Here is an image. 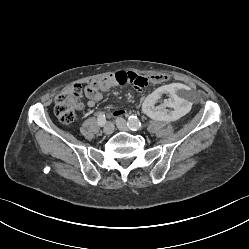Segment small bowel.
Segmentation results:
<instances>
[{
    "instance_id": "1",
    "label": "small bowel",
    "mask_w": 249,
    "mask_h": 249,
    "mask_svg": "<svg viewBox=\"0 0 249 249\" xmlns=\"http://www.w3.org/2000/svg\"><path fill=\"white\" fill-rule=\"evenodd\" d=\"M135 75L136 74L133 72L120 71V72L110 74L101 79L92 81L85 87V95L88 99L87 105L89 107L95 106V104L101 99V92L108 91L111 88L118 86V85L129 84L130 79ZM154 83H157V82H154ZM78 107L81 108L82 106L78 105ZM119 114L120 112L116 113V115H119Z\"/></svg>"
}]
</instances>
